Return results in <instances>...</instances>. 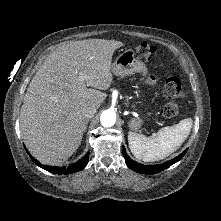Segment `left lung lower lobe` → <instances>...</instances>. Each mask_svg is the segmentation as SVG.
<instances>
[{"mask_svg": "<svg viewBox=\"0 0 221 221\" xmlns=\"http://www.w3.org/2000/svg\"><path fill=\"white\" fill-rule=\"evenodd\" d=\"M123 155L125 158V162L129 168H131L133 171L141 173V174H156L159 173L166 168L170 167L174 163L178 162L183 158V156L186 154L187 149L183 151L180 155L177 157L173 158L172 160H169L167 162H164L162 164L158 165H144V164H139L136 161H133L130 159V157L126 154L125 148L123 147Z\"/></svg>", "mask_w": 221, "mask_h": 221, "instance_id": "1", "label": "left lung lower lobe"}]
</instances>
